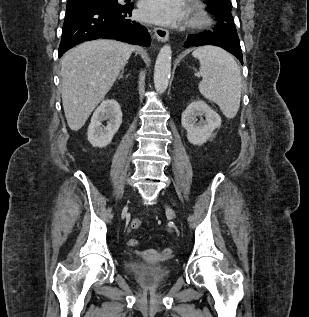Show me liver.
I'll list each match as a JSON object with an SVG mask.
<instances>
[{
    "instance_id": "1",
    "label": "liver",
    "mask_w": 309,
    "mask_h": 317,
    "mask_svg": "<svg viewBox=\"0 0 309 317\" xmlns=\"http://www.w3.org/2000/svg\"><path fill=\"white\" fill-rule=\"evenodd\" d=\"M135 47L115 40H94L61 59L62 102L71 130L81 129L104 99Z\"/></svg>"
}]
</instances>
